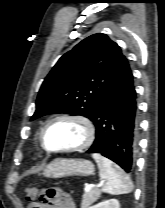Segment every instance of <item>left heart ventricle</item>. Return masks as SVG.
<instances>
[{
	"mask_svg": "<svg viewBox=\"0 0 165 208\" xmlns=\"http://www.w3.org/2000/svg\"><path fill=\"white\" fill-rule=\"evenodd\" d=\"M85 138L81 125L70 120H60L52 124L45 134V144L50 149L75 146Z\"/></svg>",
	"mask_w": 165,
	"mask_h": 208,
	"instance_id": "left-heart-ventricle-1",
	"label": "left heart ventricle"
}]
</instances>
